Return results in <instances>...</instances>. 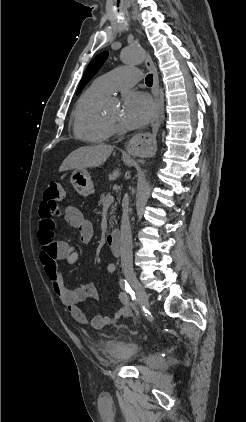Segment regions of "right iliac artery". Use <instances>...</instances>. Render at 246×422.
I'll return each mask as SVG.
<instances>
[{"label": "right iliac artery", "mask_w": 246, "mask_h": 422, "mask_svg": "<svg viewBox=\"0 0 246 422\" xmlns=\"http://www.w3.org/2000/svg\"><path fill=\"white\" fill-rule=\"evenodd\" d=\"M119 285L123 290L130 294L132 300L136 299L134 291L131 289L129 283L125 279H120Z\"/></svg>", "instance_id": "obj_1"}]
</instances>
